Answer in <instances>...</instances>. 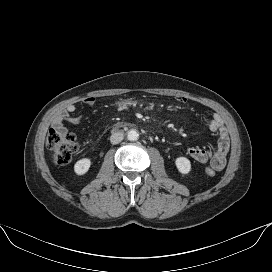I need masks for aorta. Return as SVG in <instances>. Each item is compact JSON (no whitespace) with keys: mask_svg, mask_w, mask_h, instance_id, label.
<instances>
[{"mask_svg":"<svg viewBox=\"0 0 272 272\" xmlns=\"http://www.w3.org/2000/svg\"><path fill=\"white\" fill-rule=\"evenodd\" d=\"M127 138L130 141H136L139 138V134L136 130H130L127 134Z\"/></svg>","mask_w":272,"mask_h":272,"instance_id":"1","label":"aorta"}]
</instances>
